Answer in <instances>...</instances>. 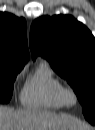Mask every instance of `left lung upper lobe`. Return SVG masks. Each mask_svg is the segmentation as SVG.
<instances>
[{
	"mask_svg": "<svg viewBox=\"0 0 95 130\" xmlns=\"http://www.w3.org/2000/svg\"><path fill=\"white\" fill-rule=\"evenodd\" d=\"M33 58L45 57L74 89L88 121H95V39L69 15L43 16L30 30Z\"/></svg>",
	"mask_w": 95,
	"mask_h": 130,
	"instance_id": "obj_1",
	"label": "left lung upper lobe"
}]
</instances>
